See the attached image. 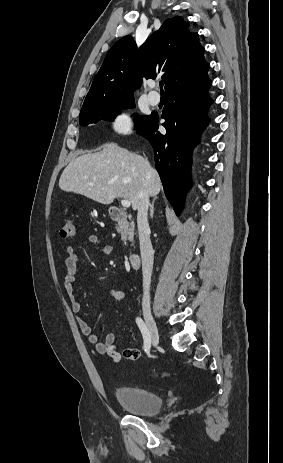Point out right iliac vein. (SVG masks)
Wrapping results in <instances>:
<instances>
[{
    "label": "right iliac vein",
    "instance_id": "1",
    "mask_svg": "<svg viewBox=\"0 0 283 463\" xmlns=\"http://www.w3.org/2000/svg\"><path fill=\"white\" fill-rule=\"evenodd\" d=\"M144 319L149 331L151 342L154 346H157V344L159 343V333L156 322L149 311L144 312Z\"/></svg>",
    "mask_w": 283,
    "mask_h": 463
}]
</instances>
